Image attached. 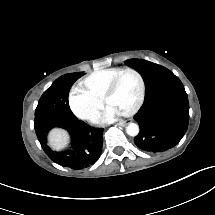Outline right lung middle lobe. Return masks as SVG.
<instances>
[{
	"label": "right lung middle lobe",
	"instance_id": "obj_1",
	"mask_svg": "<svg viewBox=\"0 0 215 215\" xmlns=\"http://www.w3.org/2000/svg\"><path fill=\"white\" fill-rule=\"evenodd\" d=\"M82 74L66 75L52 84L41 97L36 111L35 122L52 118L75 119L68 103V94L73 83Z\"/></svg>",
	"mask_w": 215,
	"mask_h": 215
}]
</instances>
